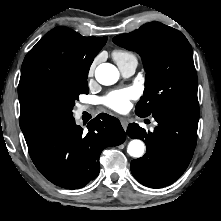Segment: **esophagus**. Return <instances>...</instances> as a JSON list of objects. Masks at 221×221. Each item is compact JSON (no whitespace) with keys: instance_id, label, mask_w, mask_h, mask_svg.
Segmentation results:
<instances>
[{"instance_id":"1","label":"esophagus","mask_w":221,"mask_h":221,"mask_svg":"<svg viewBox=\"0 0 221 221\" xmlns=\"http://www.w3.org/2000/svg\"><path fill=\"white\" fill-rule=\"evenodd\" d=\"M121 125L123 129L126 130L128 126V122L125 119H121Z\"/></svg>"}]
</instances>
